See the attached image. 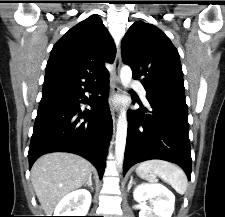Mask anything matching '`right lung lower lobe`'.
Segmentation results:
<instances>
[{
	"mask_svg": "<svg viewBox=\"0 0 225 217\" xmlns=\"http://www.w3.org/2000/svg\"><path fill=\"white\" fill-rule=\"evenodd\" d=\"M109 81L93 101L91 110L82 112L85 90L71 95L42 98L29 146V168L38 157L48 152H72L91 161L102 177L105 157L112 133V117L107 96ZM84 119V120H82Z\"/></svg>",
	"mask_w": 225,
	"mask_h": 217,
	"instance_id": "1",
	"label": "right lung lower lobe"
}]
</instances>
